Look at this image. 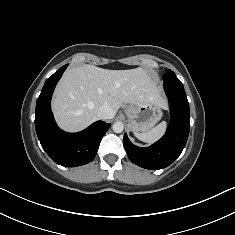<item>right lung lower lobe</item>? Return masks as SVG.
Segmentation results:
<instances>
[{
  "label": "right lung lower lobe",
  "mask_w": 235,
  "mask_h": 235,
  "mask_svg": "<svg viewBox=\"0 0 235 235\" xmlns=\"http://www.w3.org/2000/svg\"><path fill=\"white\" fill-rule=\"evenodd\" d=\"M68 65L50 76L37 99L35 128L41 146L57 164L76 167L89 163L96 156L100 141L110 124L97 121L79 133H66L58 128L51 112L53 90Z\"/></svg>",
  "instance_id": "obj_1"
}]
</instances>
